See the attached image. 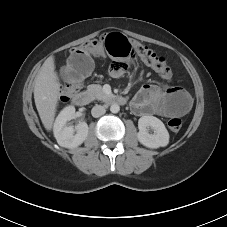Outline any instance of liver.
<instances>
[{
	"mask_svg": "<svg viewBox=\"0 0 227 227\" xmlns=\"http://www.w3.org/2000/svg\"><path fill=\"white\" fill-rule=\"evenodd\" d=\"M60 90L54 58L50 56L40 68L34 86L35 105L45 129L48 131L53 126Z\"/></svg>",
	"mask_w": 227,
	"mask_h": 227,
	"instance_id": "6515ba94",
	"label": "liver"
}]
</instances>
